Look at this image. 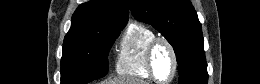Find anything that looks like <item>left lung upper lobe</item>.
I'll return each mask as SVG.
<instances>
[{"label":"left lung upper lobe","mask_w":260,"mask_h":84,"mask_svg":"<svg viewBox=\"0 0 260 84\" xmlns=\"http://www.w3.org/2000/svg\"><path fill=\"white\" fill-rule=\"evenodd\" d=\"M134 17L157 29L174 48L179 84H207L201 24L189 0H128Z\"/></svg>","instance_id":"5c2ea615"}]
</instances>
